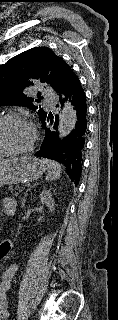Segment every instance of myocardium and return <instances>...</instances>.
Returning <instances> with one entry per match:
<instances>
[{"label": "myocardium", "instance_id": "f54148a6", "mask_svg": "<svg viewBox=\"0 0 118 320\" xmlns=\"http://www.w3.org/2000/svg\"><path fill=\"white\" fill-rule=\"evenodd\" d=\"M12 120H18V121L27 123L32 130V140L26 147L21 149H15V150L8 149L3 144L0 143V152L5 155H21V154L29 153L34 149V146L38 139V130L35 124L28 117L21 115L19 113H9L5 115H0V125L4 122L12 121Z\"/></svg>", "mask_w": 118, "mask_h": 320}]
</instances>
